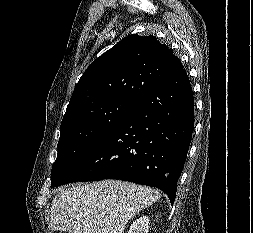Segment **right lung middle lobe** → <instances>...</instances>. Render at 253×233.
<instances>
[{
	"label": "right lung middle lobe",
	"instance_id": "obj_1",
	"mask_svg": "<svg viewBox=\"0 0 253 233\" xmlns=\"http://www.w3.org/2000/svg\"><path fill=\"white\" fill-rule=\"evenodd\" d=\"M135 100L110 98L72 110L61 123L52 182L97 146L121 121Z\"/></svg>",
	"mask_w": 253,
	"mask_h": 233
}]
</instances>
